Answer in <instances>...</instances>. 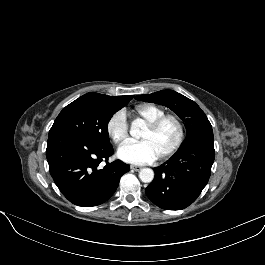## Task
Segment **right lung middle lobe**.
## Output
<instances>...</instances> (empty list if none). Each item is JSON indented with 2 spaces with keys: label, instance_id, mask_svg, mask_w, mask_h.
I'll return each instance as SVG.
<instances>
[{
  "label": "right lung middle lobe",
  "instance_id": "obj_1",
  "mask_svg": "<svg viewBox=\"0 0 265 265\" xmlns=\"http://www.w3.org/2000/svg\"><path fill=\"white\" fill-rule=\"evenodd\" d=\"M123 106L107 107L94 101L78 98L67 105L54 121L49 136L74 133L97 143L109 145L108 123Z\"/></svg>",
  "mask_w": 265,
  "mask_h": 265
}]
</instances>
